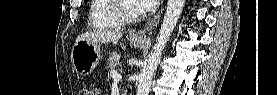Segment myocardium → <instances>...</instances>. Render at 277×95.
Segmentation results:
<instances>
[{
  "mask_svg": "<svg viewBox=\"0 0 277 95\" xmlns=\"http://www.w3.org/2000/svg\"><path fill=\"white\" fill-rule=\"evenodd\" d=\"M128 1V0H113L111 7H110V12L111 14L121 23L124 24H131V23H135L141 19H143L144 17H146L147 15V11L143 10L136 16H129L126 15L123 12V5L124 3Z\"/></svg>",
  "mask_w": 277,
  "mask_h": 95,
  "instance_id": "obj_1",
  "label": "myocardium"
}]
</instances>
